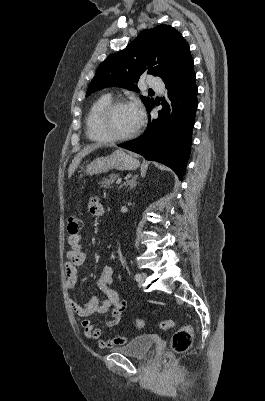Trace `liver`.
<instances>
[{
	"label": "liver",
	"mask_w": 265,
	"mask_h": 401,
	"mask_svg": "<svg viewBox=\"0 0 265 401\" xmlns=\"http://www.w3.org/2000/svg\"><path fill=\"white\" fill-rule=\"evenodd\" d=\"M99 146H103V144H100V142H95V144H87V146H84L82 150H79L78 154L74 156L71 164H69L68 168L69 178L70 176H72V174H74L76 168H78V164L81 158H83V156H86V154H89V152H92V150H95V148H99Z\"/></svg>",
	"instance_id": "liver-1"
}]
</instances>
